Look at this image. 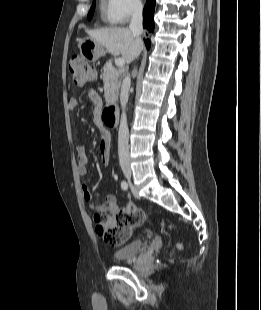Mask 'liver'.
<instances>
[{
    "mask_svg": "<svg viewBox=\"0 0 261 310\" xmlns=\"http://www.w3.org/2000/svg\"><path fill=\"white\" fill-rule=\"evenodd\" d=\"M87 33L102 47H105L110 54L122 55L127 63L132 62L143 48L142 41L134 37L128 28L113 27L90 30Z\"/></svg>",
    "mask_w": 261,
    "mask_h": 310,
    "instance_id": "6515ba94",
    "label": "liver"
}]
</instances>
